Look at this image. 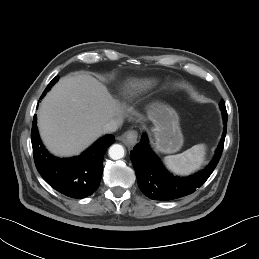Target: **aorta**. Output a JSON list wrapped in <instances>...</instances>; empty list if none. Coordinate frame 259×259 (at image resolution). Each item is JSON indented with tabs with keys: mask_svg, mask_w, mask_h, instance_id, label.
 Listing matches in <instances>:
<instances>
[{
	"mask_svg": "<svg viewBox=\"0 0 259 259\" xmlns=\"http://www.w3.org/2000/svg\"><path fill=\"white\" fill-rule=\"evenodd\" d=\"M109 156L113 160H118L124 157V148L120 144H114L109 148Z\"/></svg>",
	"mask_w": 259,
	"mask_h": 259,
	"instance_id": "762f6f07",
	"label": "aorta"
}]
</instances>
